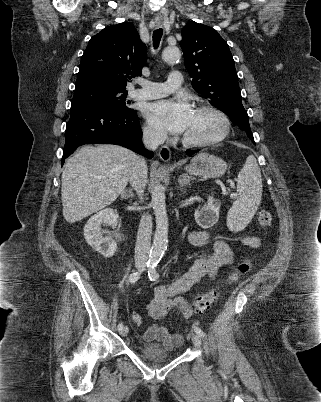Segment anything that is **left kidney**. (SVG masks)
<instances>
[{"instance_id": "1", "label": "left kidney", "mask_w": 321, "mask_h": 402, "mask_svg": "<svg viewBox=\"0 0 321 402\" xmlns=\"http://www.w3.org/2000/svg\"><path fill=\"white\" fill-rule=\"evenodd\" d=\"M220 202L212 196L208 197L207 206L194 214L197 224L202 228H210L219 219Z\"/></svg>"}]
</instances>
